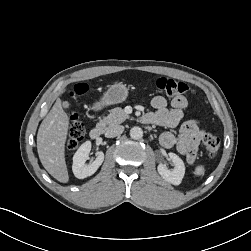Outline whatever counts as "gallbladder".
Returning a JSON list of instances; mask_svg holds the SVG:
<instances>
[{
	"instance_id": "obj_1",
	"label": "gallbladder",
	"mask_w": 251,
	"mask_h": 251,
	"mask_svg": "<svg viewBox=\"0 0 251 251\" xmlns=\"http://www.w3.org/2000/svg\"><path fill=\"white\" fill-rule=\"evenodd\" d=\"M69 106H70V103H69L68 101H64V102L62 103V107H63L64 109H68Z\"/></svg>"
}]
</instances>
